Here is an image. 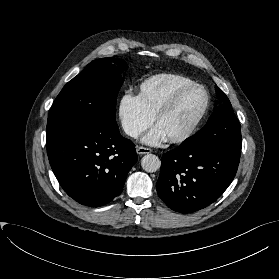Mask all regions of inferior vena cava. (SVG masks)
I'll return each instance as SVG.
<instances>
[{
    "label": "inferior vena cava",
    "instance_id": "obj_1",
    "mask_svg": "<svg viewBox=\"0 0 279 279\" xmlns=\"http://www.w3.org/2000/svg\"><path fill=\"white\" fill-rule=\"evenodd\" d=\"M126 133L131 137H137L139 135V131L134 128H129L126 130Z\"/></svg>",
    "mask_w": 279,
    "mask_h": 279
}]
</instances>
